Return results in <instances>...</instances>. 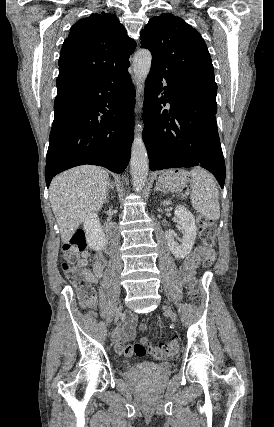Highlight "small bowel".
Returning a JSON list of instances; mask_svg holds the SVG:
<instances>
[{
    "label": "small bowel",
    "mask_w": 274,
    "mask_h": 427,
    "mask_svg": "<svg viewBox=\"0 0 274 427\" xmlns=\"http://www.w3.org/2000/svg\"><path fill=\"white\" fill-rule=\"evenodd\" d=\"M89 264L91 265L90 270L87 268ZM106 264L107 260L101 251L92 252L90 250H84L77 262V267L84 273L88 281L97 283L104 273ZM135 325V315H128L125 319L123 327L114 333V342L117 343L120 341H128L133 339L135 337ZM139 328L141 331H143L147 328V325L142 323Z\"/></svg>",
    "instance_id": "c3829d8e"
}]
</instances>
